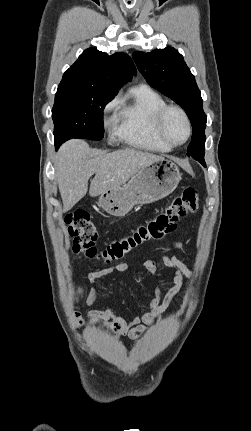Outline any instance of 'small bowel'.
<instances>
[{
  "label": "small bowel",
  "instance_id": "c3829d8e",
  "mask_svg": "<svg viewBox=\"0 0 251 431\" xmlns=\"http://www.w3.org/2000/svg\"><path fill=\"white\" fill-rule=\"evenodd\" d=\"M182 246L183 244L181 242H176L174 244L176 249H181ZM161 259L165 266L176 271L174 285L163 298L161 297L160 288L158 286L156 287L154 295L146 302V306L149 309L148 312L141 316L123 317L111 309L90 310L87 313L89 322L91 324L100 323L113 331L116 337L126 336L136 342L146 332L148 327L153 325L161 317L162 313L169 307L173 298L182 288L183 276L190 277L191 275L189 266L180 257H170L163 254L161 255ZM144 267L151 275H158V266L154 260H146L144 262ZM129 269L130 267L126 262H119L114 266L91 271L87 278L90 283H94L101 277L115 273H124L129 271ZM96 296V290L95 288H92L86 299L87 305H92L96 300ZM185 303L186 300L183 302L181 308L177 312V315L182 312ZM74 316L80 326L85 325V320L82 318L80 312L75 311Z\"/></svg>",
  "mask_w": 251,
  "mask_h": 431
}]
</instances>
